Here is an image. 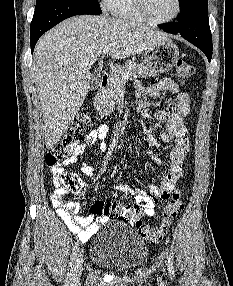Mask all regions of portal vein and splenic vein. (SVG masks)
Wrapping results in <instances>:
<instances>
[{"label": "portal vein and splenic vein", "mask_w": 233, "mask_h": 286, "mask_svg": "<svg viewBox=\"0 0 233 286\" xmlns=\"http://www.w3.org/2000/svg\"><path fill=\"white\" fill-rule=\"evenodd\" d=\"M110 50V46H106L104 47V49L102 50L103 55L107 54ZM128 75H124V78H128Z\"/></svg>", "instance_id": "1"}]
</instances>
